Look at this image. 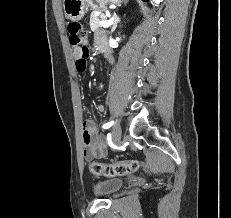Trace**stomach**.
<instances>
[{"instance_id":"0dacf381","label":"stomach","mask_w":231,"mask_h":218,"mask_svg":"<svg viewBox=\"0 0 231 218\" xmlns=\"http://www.w3.org/2000/svg\"><path fill=\"white\" fill-rule=\"evenodd\" d=\"M120 0H63L64 13L67 19L79 21L90 8L102 11L107 4H117Z\"/></svg>"}]
</instances>
